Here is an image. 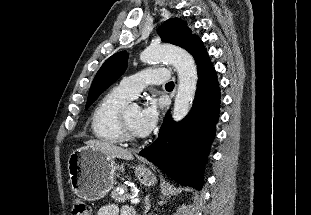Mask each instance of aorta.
<instances>
[{
	"label": "aorta",
	"mask_w": 311,
	"mask_h": 215,
	"mask_svg": "<svg viewBox=\"0 0 311 215\" xmlns=\"http://www.w3.org/2000/svg\"><path fill=\"white\" fill-rule=\"evenodd\" d=\"M143 62L167 61L178 73V89L174 102L173 119L180 121L188 114L197 88L195 61L186 50L173 45H151L140 55Z\"/></svg>",
	"instance_id": "obj_1"
}]
</instances>
